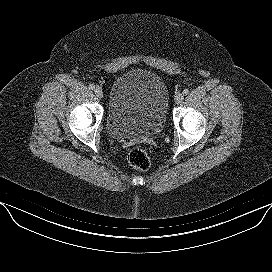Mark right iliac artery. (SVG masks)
I'll return each mask as SVG.
<instances>
[{"mask_svg":"<svg viewBox=\"0 0 272 272\" xmlns=\"http://www.w3.org/2000/svg\"><path fill=\"white\" fill-rule=\"evenodd\" d=\"M95 88L94 84H89V89L93 90Z\"/></svg>","mask_w":272,"mask_h":272,"instance_id":"right-iliac-artery-1","label":"right iliac artery"}]
</instances>
